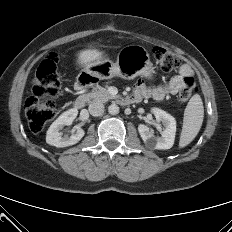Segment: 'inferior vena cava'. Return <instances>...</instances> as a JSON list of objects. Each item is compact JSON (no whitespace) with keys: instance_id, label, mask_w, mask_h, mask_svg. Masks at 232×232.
Returning <instances> with one entry per match:
<instances>
[{"instance_id":"602c4592","label":"inferior vena cava","mask_w":232,"mask_h":232,"mask_svg":"<svg viewBox=\"0 0 232 232\" xmlns=\"http://www.w3.org/2000/svg\"><path fill=\"white\" fill-rule=\"evenodd\" d=\"M92 116H100L104 113V105L101 102H93L88 107Z\"/></svg>"}]
</instances>
